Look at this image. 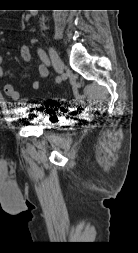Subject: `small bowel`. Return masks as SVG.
<instances>
[{"label":"small bowel","instance_id":"obj_1","mask_svg":"<svg viewBox=\"0 0 138 253\" xmlns=\"http://www.w3.org/2000/svg\"><path fill=\"white\" fill-rule=\"evenodd\" d=\"M20 53H21L22 59L25 62H30L32 60V55H31L30 49L27 46H23L21 48ZM2 62H3V58L0 55V78H2L3 75H4L3 69H2V66H1ZM48 72L49 71H48V68H47L46 65H44V64L38 65L37 73H38V76H39L40 79L46 78L48 76ZM31 88L34 89V90H38L40 88V81L39 80H34L31 83ZM3 90H4V93L8 97H10L13 101H18L21 104H26L28 102V98L27 97L22 98L20 92L17 89H15V87L10 83L5 84L4 87H3Z\"/></svg>","mask_w":138,"mask_h":253}]
</instances>
